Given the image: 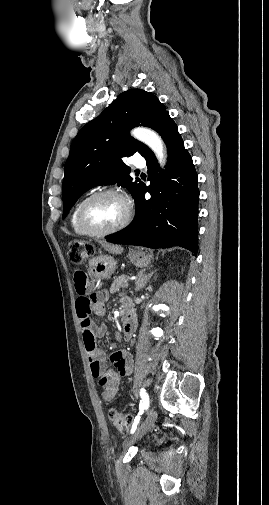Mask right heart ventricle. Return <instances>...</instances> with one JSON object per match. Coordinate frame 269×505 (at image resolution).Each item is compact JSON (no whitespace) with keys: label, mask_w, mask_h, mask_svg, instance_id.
Instances as JSON below:
<instances>
[{"label":"right heart ventricle","mask_w":269,"mask_h":505,"mask_svg":"<svg viewBox=\"0 0 269 505\" xmlns=\"http://www.w3.org/2000/svg\"><path fill=\"white\" fill-rule=\"evenodd\" d=\"M86 198H83L80 200L76 206L73 208L71 214H70V225L74 233H76L79 236H88V234L81 228V226L78 223V211L81 206V204L84 202Z\"/></svg>","instance_id":"obj_1"}]
</instances>
